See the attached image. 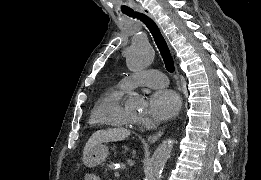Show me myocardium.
Instances as JSON below:
<instances>
[{
    "label": "myocardium",
    "mask_w": 261,
    "mask_h": 180,
    "mask_svg": "<svg viewBox=\"0 0 261 180\" xmlns=\"http://www.w3.org/2000/svg\"><path fill=\"white\" fill-rule=\"evenodd\" d=\"M117 123L121 129H125L130 132H137L141 125V121L132 122V121L126 120L124 117L123 110H120L117 114Z\"/></svg>",
    "instance_id": "1"
}]
</instances>
